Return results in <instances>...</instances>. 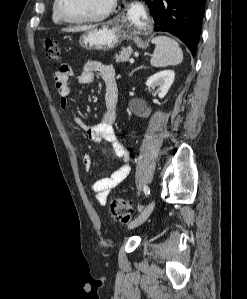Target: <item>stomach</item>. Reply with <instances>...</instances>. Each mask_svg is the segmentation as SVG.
I'll list each match as a JSON object with an SVG mask.
<instances>
[{
  "label": "stomach",
  "mask_w": 247,
  "mask_h": 299,
  "mask_svg": "<svg viewBox=\"0 0 247 299\" xmlns=\"http://www.w3.org/2000/svg\"><path fill=\"white\" fill-rule=\"evenodd\" d=\"M126 37L123 26L118 21L95 25L79 39L80 47L87 50H110L117 47Z\"/></svg>",
  "instance_id": "1"
}]
</instances>
